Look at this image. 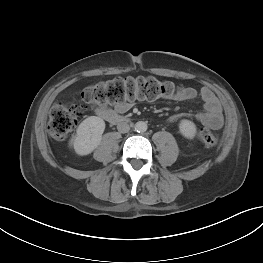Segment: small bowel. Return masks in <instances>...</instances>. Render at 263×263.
Here are the masks:
<instances>
[{
    "mask_svg": "<svg viewBox=\"0 0 263 263\" xmlns=\"http://www.w3.org/2000/svg\"><path fill=\"white\" fill-rule=\"evenodd\" d=\"M200 97L203 101V107L204 110L202 112H198L194 114V117L201 122L202 124L209 126L213 129H218L223 124V115H222V109L221 105L217 99V97L214 95V93L207 87H203L199 92L192 88V87H185L181 90V92L176 96V99L179 101H189L193 100L196 97ZM131 107V102L123 103L120 105H117L115 108H107L103 106L96 107V112L100 116H103V113L105 112H111V113H124ZM184 114H177L172 117H170V122H175L181 117H183Z\"/></svg>",
    "mask_w": 263,
    "mask_h": 263,
    "instance_id": "small-bowel-1",
    "label": "small bowel"
}]
</instances>
